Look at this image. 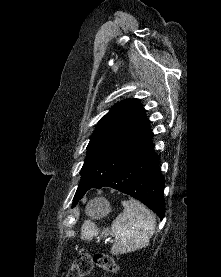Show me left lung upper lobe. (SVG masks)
<instances>
[{
	"label": "left lung upper lobe",
	"mask_w": 221,
	"mask_h": 277,
	"mask_svg": "<svg viewBox=\"0 0 221 277\" xmlns=\"http://www.w3.org/2000/svg\"><path fill=\"white\" fill-rule=\"evenodd\" d=\"M152 138L150 121L138 99L114 105L96 125L74 198L126 164Z\"/></svg>",
	"instance_id": "5c2ea615"
}]
</instances>
